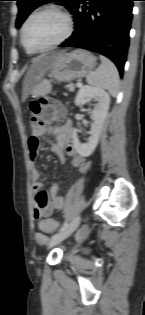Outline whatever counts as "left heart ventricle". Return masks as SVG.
<instances>
[{"mask_svg":"<svg viewBox=\"0 0 145 315\" xmlns=\"http://www.w3.org/2000/svg\"><path fill=\"white\" fill-rule=\"evenodd\" d=\"M64 32L60 17L51 13L38 15L30 20L25 31V40L31 47H42L58 39Z\"/></svg>","mask_w":145,"mask_h":315,"instance_id":"1","label":"left heart ventricle"}]
</instances>
